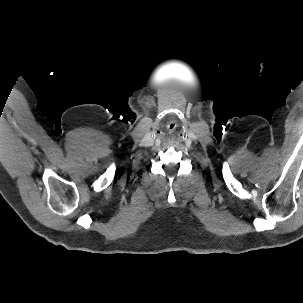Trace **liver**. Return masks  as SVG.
I'll use <instances>...</instances> for the list:
<instances>
[{
	"mask_svg": "<svg viewBox=\"0 0 303 303\" xmlns=\"http://www.w3.org/2000/svg\"><path fill=\"white\" fill-rule=\"evenodd\" d=\"M1 130H2V129H1ZM0 135H2V131H0ZM2 147H3V145L0 144V152L2 151Z\"/></svg>",
	"mask_w": 303,
	"mask_h": 303,
	"instance_id": "obj_1",
	"label": "liver"
}]
</instances>
